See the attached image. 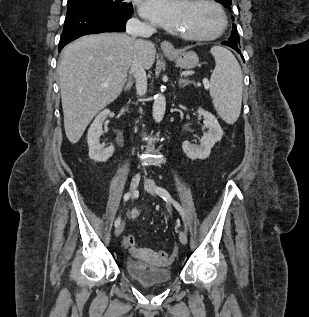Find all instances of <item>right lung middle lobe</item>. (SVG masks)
<instances>
[{
  "mask_svg": "<svg viewBox=\"0 0 309 317\" xmlns=\"http://www.w3.org/2000/svg\"><path fill=\"white\" fill-rule=\"evenodd\" d=\"M68 7H93L120 12H133L131 3L123 0H68Z\"/></svg>",
  "mask_w": 309,
  "mask_h": 317,
  "instance_id": "obj_1",
  "label": "right lung middle lobe"
}]
</instances>
